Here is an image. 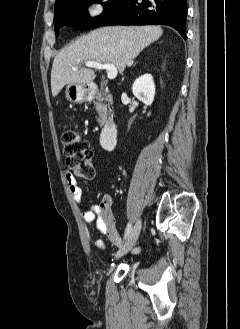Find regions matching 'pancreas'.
<instances>
[{
	"mask_svg": "<svg viewBox=\"0 0 240 329\" xmlns=\"http://www.w3.org/2000/svg\"><path fill=\"white\" fill-rule=\"evenodd\" d=\"M105 100L111 102V100H109V98L105 97ZM96 110L99 113V118H98V122L102 123L104 121L105 115H106V106L104 104L101 103V98H98V102L96 103Z\"/></svg>",
	"mask_w": 240,
	"mask_h": 329,
	"instance_id": "1",
	"label": "pancreas"
}]
</instances>
